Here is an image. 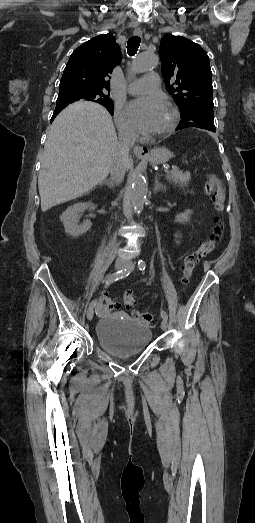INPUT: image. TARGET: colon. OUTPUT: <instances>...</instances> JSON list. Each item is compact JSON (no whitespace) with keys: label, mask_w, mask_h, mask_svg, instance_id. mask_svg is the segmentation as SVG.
<instances>
[{"label":"colon","mask_w":255,"mask_h":523,"mask_svg":"<svg viewBox=\"0 0 255 523\" xmlns=\"http://www.w3.org/2000/svg\"><path fill=\"white\" fill-rule=\"evenodd\" d=\"M206 190L211 195L212 202L216 210L218 212H222L224 209L225 194L223 185L216 175L212 173L207 175ZM223 231V223L219 219H216L213 231L207 235L206 239L203 240L194 251L185 257L181 266L182 283L185 284L189 282L194 268L203 258L209 255L215 249L217 243L221 239ZM123 303L125 307L129 309L134 308L137 304L135 297L130 293H126L124 295ZM117 308L118 303L115 299L108 296L102 298L101 309L103 312L110 313ZM132 315L140 324L151 325L153 322V316L148 312L134 311Z\"/></svg>","instance_id":"obj_1"}]
</instances>
